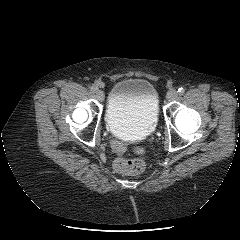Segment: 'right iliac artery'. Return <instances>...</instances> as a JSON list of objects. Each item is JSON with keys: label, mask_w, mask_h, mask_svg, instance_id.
Listing matches in <instances>:
<instances>
[{"label": "right iliac artery", "mask_w": 240, "mask_h": 240, "mask_svg": "<svg viewBox=\"0 0 240 240\" xmlns=\"http://www.w3.org/2000/svg\"><path fill=\"white\" fill-rule=\"evenodd\" d=\"M96 90H97V88H96L95 86H91V87H90V91H91V92H95Z\"/></svg>", "instance_id": "obj_1"}]
</instances>
